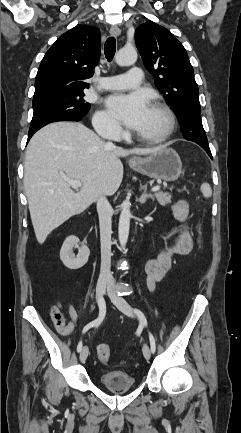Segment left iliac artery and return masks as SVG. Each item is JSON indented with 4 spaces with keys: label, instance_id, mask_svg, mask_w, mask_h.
<instances>
[{
    "label": "left iliac artery",
    "instance_id": "left-iliac-artery-1",
    "mask_svg": "<svg viewBox=\"0 0 241 433\" xmlns=\"http://www.w3.org/2000/svg\"><path fill=\"white\" fill-rule=\"evenodd\" d=\"M134 312L137 315V317L139 318L140 324L144 327H147V325H148L147 319H146L145 315L143 314V312L140 311L139 309H136V308L134 309ZM148 334H149L151 352L154 353L156 350L155 339H154L153 334L150 331H148Z\"/></svg>",
    "mask_w": 241,
    "mask_h": 433
}]
</instances>
